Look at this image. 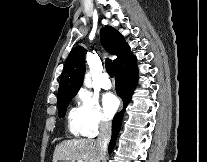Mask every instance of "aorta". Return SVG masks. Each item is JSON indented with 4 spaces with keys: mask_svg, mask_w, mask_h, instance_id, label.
<instances>
[{
    "mask_svg": "<svg viewBox=\"0 0 207 162\" xmlns=\"http://www.w3.org/2000/svg\"><path fill=\"white\" fill-rule=\"evenodd\" d=\"M84 84H85L87 87H91L90 74H86V75H85Z\"/></svg>",
    "mask_w": 207,
    "mask_h": 162,
    "instance_id": "aorta-1",
    "label": "aorta"
}]
</instances>
